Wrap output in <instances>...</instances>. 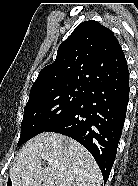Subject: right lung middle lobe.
<instances>
[{"instance_id":"1","label":"right lung middle lobe","mask_w":138,"mask_h":186,"mask_svg":"<svg viewBox=\"0 0 138 186\" xmlns=\"http://www.w3.org/2000/svg\"><path fill=\"white\" fill-rule=\"evenodd\" d=\"M87 90L85 86L69 85L30 94L24 108L18 145L63 119L83 101Z\"/></svg>"}]
</instances>
